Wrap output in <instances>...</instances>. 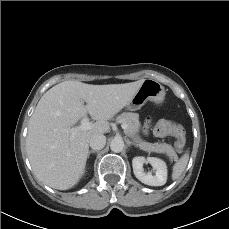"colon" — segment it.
<instances>
[{
    "instance_id": "obj_1",
    "label": "colon",
    "mask_w": 229,
    "mask_h": 229,
    "mask_svg": "<svg viewBox=\"0 0 229 229\" xmlns=\"http://www.w3.org/2000/svg\"><path fill=\"white\" fill-rule=\"evenodd\" d=\"M155 133L162 137L172 136L176 139L179 149L184 148L186 142V133L183 127L175 124L168 119H161L155 126Z\"/></svg>"
}]
</instances>
